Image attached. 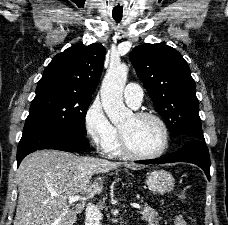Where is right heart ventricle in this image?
Masks as SVG:
<instances>
[{
    "label": "right heart ventricle",
    "instance_id": "e07e8e85",
    "mask_svg": "<svg viewBox=\"0 0 228 225\" xmlns=\"http://www.w3.org/2000/svg\"><path fill=\"white\" fill-rule=\"evenodd\" d=\"M104 152L110 157H118L123 155V151L120 144V132L117 130L115 139L108 146L104 148Z\"/></svg>",
    "mask_w": 228,
    "mask_h": 225
}]
</instances>
